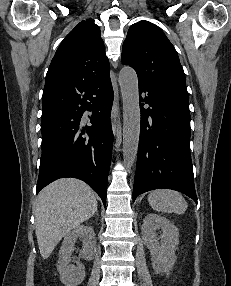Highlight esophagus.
I'll list each match as a JSON object with an SVG mask.
<instances>
[{"label": "esophagus", "instance_id": "obj_1", "mask_svg": "<svg viewBox=\"0 0 231 286\" xmlns=\"http://www.w3.org/2000/svg\"><path fill=\"white\" fill-rule=\"evenodd\" d=\"M119 114H120L119 105L116 101H114L111 111V125L114 134H116L117 131Z\"/></svg>", "mask_w": 231, "mask_h": 286}]
</instances>
